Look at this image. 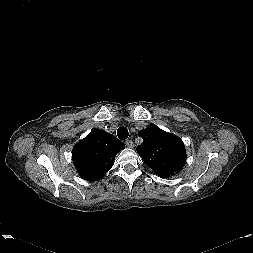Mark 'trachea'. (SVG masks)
Here are the masks:
<instances>
[{
    "label": "trachea",
    "instance_id": "trachea-1",
    "mask_svg": "<svg viewBox=\"0 0 253 253\" xmlns=\"http://www.w3.org/2000/svg\"><path fill=\"white\" fill-rule=\"evenodd\" d=\"M117 136H118L119 139L125 140V139L128 138L129 132L125 127H120L117 130Z\"/></svg>",
    "mask_w": 253,
    "mask_h": 253
}]
</instances>
